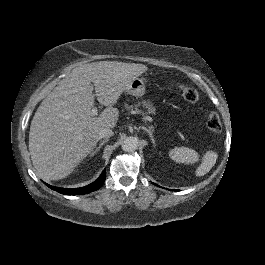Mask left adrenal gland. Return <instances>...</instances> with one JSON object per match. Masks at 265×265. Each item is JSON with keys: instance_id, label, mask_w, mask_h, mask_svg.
<instances>
[{"instance_id": "obj_1", "label": "left adrenal gland", "mask_w": 265, "mask_h": 265, "mask_svg": "<svg viewBox=\"0 0 265 265\" xmlns=\"http://www.w3.org/2000/svg\"><path fill=\"white\" fill-rule=\"evenodd\" d=\"M139 129H142V130H144L145 132H147L148 135H149V137H150V139H151V141H152V143L154 144V146H156V145H155L154 136H153V130H152V127H148V128H146L145 126H142V127H139Z\"/></svg>"}]
</instances>
